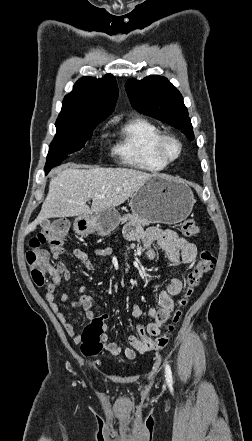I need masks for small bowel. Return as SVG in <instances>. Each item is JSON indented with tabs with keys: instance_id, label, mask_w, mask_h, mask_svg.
Segmentation results:
<instances>
[{
	"instance_id": "c3829d8e",
	"label": "small bowel",
	"mask_w": 252,
	"mask_h": 441,
	"mask_svg": "<svg viewBox=\"0 0 252 441\" xmlns=\"http://www.w3.org/2000/svg\"><path fill=\"white\" fill-rule=\"evenodd\" d=\"M124 235L129 241L141 242L147 251L149 260H153L155 257V252L152 248L154 243L164 251L171 265H178L180 263L190 264L197 256L196 245L170 229L150 227L143 230L137 225H129L125 228ZM61 252H53V258H59ZM72 253L88 270L94 269L89 254L79 248H74ZM109 254H111L110 248H97L92 252V255L95 256H107ZM48 272L51 279L46 286L45 299L67 334L75 342L80 343V334L75 330L72 321L62 311V306L69 305L73 309H81L86 317L92 320L95 317L92 310L93 299L90 295L86 294V287L83 285L78 288L80 296L77 300H71L67 293H63L58 297L57 290L62 281L69 282L71 280V272L62 261L57 262L55 265H50ZM181 291L182 282L179 279L170 278L167 281L165 288L159 293L158 307L149 310V315L153 321L147 326L148 334L156 336L160 333V328L169 318L174 308V297ZM132 315L135 319L140 318L142 309L139 305L135 304L133 306ZM101 341L103 348L115 356L123 353L128 359H133L137 353L146 352L142 340L134 335L129 336L128 342L130 347L126 348H122L116 341L111 340L107 334V329L102 334Z\"/></svg>"
}]
</instances>
